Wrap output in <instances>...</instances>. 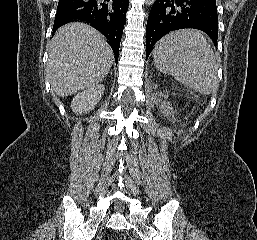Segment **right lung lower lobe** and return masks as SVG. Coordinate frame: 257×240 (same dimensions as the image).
I'll return each instance as SVG.
<instances>
[{
	"label": "right lung lower lobe",
	"mask_w": 257,
	"mask_h": 240,
	"mask_svg": "<svg viewBox=\"0 0 257 240\" xmlns=\"http://www.w3.org/2000/svg\"><path fill=\"white\" fill-rule=\"evenodd\" d=\"M128 6L129 0H59L53 33L71 21H85L108 39L117 63Z\"/></svg>",
	"instance_id": "98d812e1"
}]
</instances>
